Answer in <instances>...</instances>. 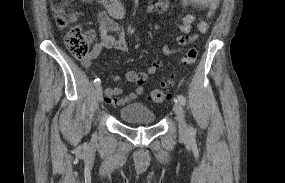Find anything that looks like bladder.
<instances>
[{
  "label": "bladder",
  "instance_id": "1",
  "mask_svg": "<svg viewBox=\"0 0 285 183\" xmlns=\"http://www.w3.org/2000/svg\"><path fill=\"white\" fill-rule=\"evenodd\" d=\"M119 116L122 121L127 123L152 124L156 119L152 110L138 103L128 104L121 108Z\"/></svg>",
  "mask_w": 285,
  "mask_h": 183
}]
</instances>
